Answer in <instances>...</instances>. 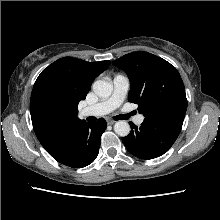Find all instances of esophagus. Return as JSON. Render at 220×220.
<instances>
[{"label":"esophagus","instance_id":"34e87169","mask_svg":"<svg viewBox=\"0 0 220 220\" xmlns=\"http://www.w3.org/2000/svg\"><path fill=\"white\" fill-rule=\"evenodd\" d=\"M114 123H115V121H114V120H110V119H109V120H107V124H108V125H113Z\"/></svg>","mask_w":220,"mask_h":220}]
</instances>
